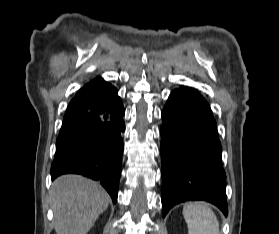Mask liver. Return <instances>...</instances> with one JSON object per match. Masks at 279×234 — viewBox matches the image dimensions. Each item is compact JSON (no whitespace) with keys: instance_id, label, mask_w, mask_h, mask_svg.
<instances>
[{"instance_id":"liver-1","label":"liver","mask_w":279,"mask_h":234,"mask_svg":"<svg viewBox=\"0 0 279 234\" xmlns=\"http://www.w3.org/2000/svg\"><path fill=\"white\" fill-rule=\"evenodd\" d=\"M52 209L57 234H87L109 203L107 192L79 175H63L52 184Z\"/></svg>"}]
</instances>
